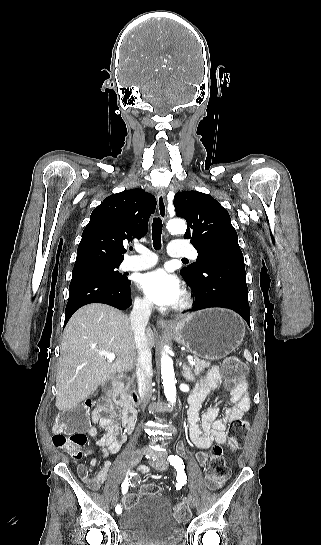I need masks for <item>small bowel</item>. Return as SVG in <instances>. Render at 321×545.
<instances>
[{
    "instance_id": "obj_1",
    "label": "small bowel",
    "mask_w": 321,
    "mask_h": 545,
    "mask_svg": "<svg viewBox=\"0 0 321 545\" xmlns=\"http://www.w3.org/2000/svg\"><path fill=\"white\" fill-rule=\"evenodd\" d=\"M222 383V376L218 367H213L206 377L202 378L193 389L189 399V436L193 444L201 450L196 454V458L201 464L208 460V450L214 443L222 444L225 442V430L229 422L241 419L243 414L250 408L251 401L246 388L231 390L230 406L226 408L221 415V406L213 405L209 407L202 415L199 414L201 404L208 395ZM118 415L117 410L112 404L103 400L92 413V423L98 425L103 431V435L96 440V445L102 449L104 456L119 452L122 444L126 440V434L122 427L115 421ZM88 436L95 438L98 430L91 426L87 430ZM179 451L184 452V447L179 446ZM92 466L98 464V460L93 458L90 461ZM111 467V462L105 460L103 466L95 477L101 484ZM142 472H147L145 466H141Z\"/></svg>"
}]
</instances>
